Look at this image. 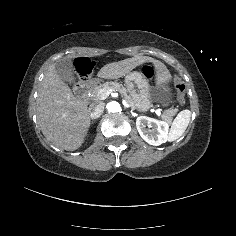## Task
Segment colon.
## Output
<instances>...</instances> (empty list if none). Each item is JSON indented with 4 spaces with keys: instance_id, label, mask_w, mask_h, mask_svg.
Instances as JSON below:
<instances>
[{
    "instance_id": "colon-1",
    "label": "colon",
    "mask_w": 236,
    "mask_h": 236,
    "mask_svg": "<svg viewBox=\"0 0 236 236\" xmlns=\"http://www.w3.org/2000/svg\"><path fill=\"white\" fill-rule=\"evenodd\" d=\"M81 67L82 69H87V66L85 64H82ZM142 71H143V74L148 78L153 77L155 74V69L151 65L143 66ZM174 87L177 93V100L181 105H183L185 103V89L186 88H185L184 83L178 77L174 78Z\"/></svg>"
}]
</instances>
